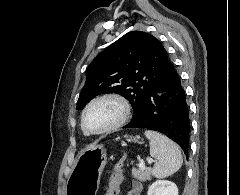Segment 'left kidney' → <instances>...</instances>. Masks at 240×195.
Returning <instances> with one entry per match:
<instances>
[{
  "instance_id": "1",
  "label": "left kidney",
  "mask_w": 240,
  "mask_h": 195,
  "mask_svg": "<svg viewBox=\"0 0 240 195\" xmlns=\"http://www.w3.org/2000/svg\"><path fill=\"white\" fill-rule=\"evenodd\" d=\"M148 195H178V187L168 179H157L149 185Z\"/></svg>"
}]
</instances>
